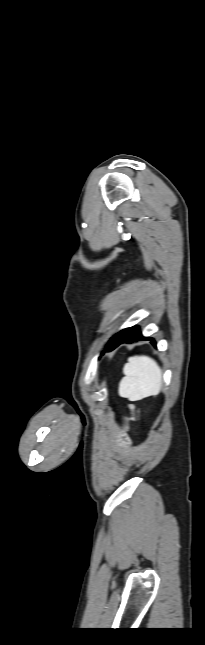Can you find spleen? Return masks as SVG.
<instances>
[{
	"label": "spleen",
	"instance_id": "spleen-1",
	"mask_svg": "<svg viewBox=\"0 0 205 645\" xmlns=\"http://www.w3.org/2000/svg\"><path fill=\"white\" fill-rule=\"evenodd\" d=\"M125 375L119 384V394L130 401L156 396L162 388V370L148 356H133L123 367Z\"/></svg>",
	"mask_w": 205,
	"mask_h": 645
}]
</instances>
